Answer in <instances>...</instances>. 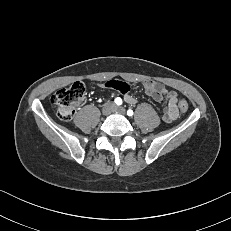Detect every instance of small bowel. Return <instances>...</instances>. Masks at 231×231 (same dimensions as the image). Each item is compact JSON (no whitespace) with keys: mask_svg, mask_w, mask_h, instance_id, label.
Masks as SVG:
<instances>
[{"mask_svg":"<svg viewBox=\"0 0 231 231\" xmlns=\"http://www.w3.org/2000/svg\"><path fill=\"white\" fill-rule=\"evenodd\" d=\"M106 87L114 89L123 95L125 102L136 104L138 100L129 93V86L121 81L110 80L105 84ZM146 94L154 101L160 102L165 97L167 99L166 107L162 118L165 122H173L178 118V96L176 92L167 90L161 83L147 80L143 83Z\"/></svg>","mask_w":231,"mask_h":231,"instance_id":"c3829d8e","label":"small bowel"}]
</instances>
